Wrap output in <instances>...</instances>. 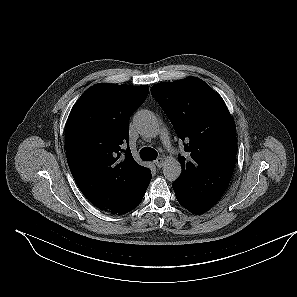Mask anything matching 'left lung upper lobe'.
<instances>
[{
	"label": "left lung upper lobe",
	"instance_id": "obj_1",
	"mask_svg": "<svg viewBox=\"0 0 297 297\" xmlns=\"http://www.w3.org/2000/svg\"><path fill=\"white\" fill-rule=\"evenodd\" d=\"M151 94L191 153L188 159L178 157L179 203L185 208L215 204L230 183L236 159V127L225 102L196 77L155 84Z\"/></svg>",
	"mask_w": 297,
	"mask_h": 297
}]
</instances>
